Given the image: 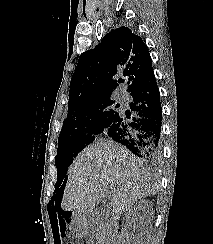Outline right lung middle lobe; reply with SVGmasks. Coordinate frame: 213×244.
Segmentation results:
<instances>
[{
    "label": "right lung middle lobe",
    "mask_w": 213,
    "mask_h": 244,
    "mask_svg": "<svg viewBox=\"0 0 213 244\" xmlns=\"http://www.w3.org/2000/svg\"><path fill=\"white\" fill-rule=\"evenodd\" d=\"M114 103L110 96H104L85 105L68 109L58 138L59 149L55 158L58 187L73 158L95 140V135L105 132L118 116L119 113L114 109Z\"/></svg>",
    "instance_id": "dd1d6c3e"
}]
</instances>
